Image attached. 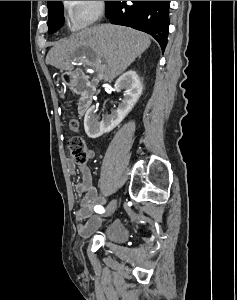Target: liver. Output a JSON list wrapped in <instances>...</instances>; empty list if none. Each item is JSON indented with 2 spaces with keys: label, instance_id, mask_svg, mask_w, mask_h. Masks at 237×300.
<instances>
[{
  "label": "liver",
  "instance_id": "6515ba94",
  "mask_svg": "<svg viewBox=\"0 0 237 300\" xmlns=\"http://www.w3.org/2000/svg\"><path fill=\"white\" fill-rule=\"evenodd\" d=\"M150 45L149 35L140 31L109 25V23L95 25L75 33L70 39H62L54 43V47L46 57V65L60 69V73L72 71L74 65L71 61L86 57L91 49L98 63L101 59H105L107 63V67L105 65H93V67H96L97 71H103L105 81H113Z\"/></svg>",
  "mask_w": 237,
  "mask_h": 300
}]
</instances>
